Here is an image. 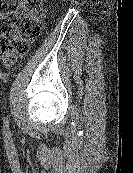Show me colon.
<instances>
[{"instance_id":"colon-1","label":"colon","mask_w":133,"mask_h":173,"mask_svg":"<svg viewBox=\"0 0 133 173\" xmlns=\"http://www.w3.org/2000/svg\"><path fill=\"white\" fill-rule=\"evenodd\" d=\"M44 16L39 0H0V57L5 66L29 51L43 31Z\"/></svg>"}]
</instances>
